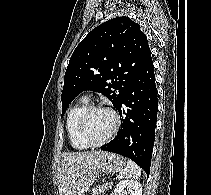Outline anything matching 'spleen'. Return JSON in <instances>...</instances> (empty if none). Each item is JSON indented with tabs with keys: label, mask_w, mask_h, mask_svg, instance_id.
Wrapping results in <instances>:
<instances>
[{
	"label": "spleen",
	"mask_w": 211,
	"mask_h": 195,
	"mask_svg": "<svg viewBox=\"0 0 211 195\" xmlns=\"http://www.w3.org/2000/svg\"><path fill=\"white\" fill-rule=\"evenodd\" d=\"M120 176L125 178L138 179L141 176V168L133 161L128 160L126 167L120 171Z\"/></svg>",
	"instance_id": "1"
}]
</instances>
